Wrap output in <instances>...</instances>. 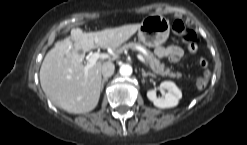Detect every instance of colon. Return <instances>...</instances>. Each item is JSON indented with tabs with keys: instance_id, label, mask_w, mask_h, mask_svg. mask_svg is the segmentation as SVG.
I'll return each instance as SVG.
<instances>
[{
	"instance_id": "5ec220e1",
	"label": "colon",
	"mask_w": 247,
	"mask_h": 145,
	"mask_svg": "<svg viewBox=\"0 0 247 145\" xmlns=\"http://www.w3.org/2000/svg\"><path fill=\"white\" fill-rule=\"evenodd\" d=\"M172 31L181 37L184 42L194 43L196 41V34L192 29L185 27L182 21L176 20L172 24ZM199 65L203 69L202 75L197 80V86L199 88H205L209 82L210 72L207 69L208 61L205 58L199 60Z\"/></svg>"
}]
</instances>
